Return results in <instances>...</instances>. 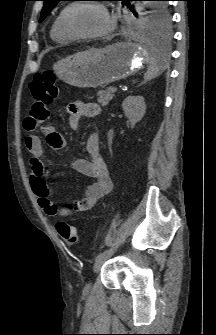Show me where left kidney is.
Returning a JSON list of instances; mask_svg holds the SVG:
<instances>
[{
    "label": "left kidney",
    "instance_id": "left-kidney-1",
    "mask_svg": "<svg viewBox=\"0 0 216 335\" xmlns=\"http://www.w3.org/2000/svg\"><path fill=\"white\" fill-rule=\"evenodd\" d=\"M123 111L133 128L139 122L146 110V104L142 96H128L122 103Z\"/></svg>",
    "mask_w": 216,
    "mask_h": 335
}]
</instances>
